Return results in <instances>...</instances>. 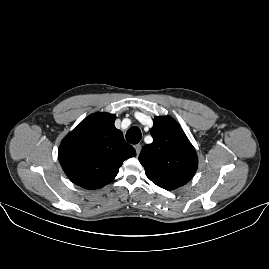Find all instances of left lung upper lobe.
I'll use <instances>...</instances> for the list:
<instances>
[{"instance_id": "left-lung-upper-lobe-1", "label": "left lung upper lobe", "mask_w": 269, "mask_h": 269, "mask_svg": "<svg viewBox=\"0 0 269 269\" xmlns=\"http://www.w3.org/2000/svg\"><path fill=\"white\" fill-rule=\"evenodd\" d=\"M153 142L141 150L139 161L156 185L173 190L186 184L198 166L196 152L179 124L170 117H156Z\"/></svg>"}]
</instances>
